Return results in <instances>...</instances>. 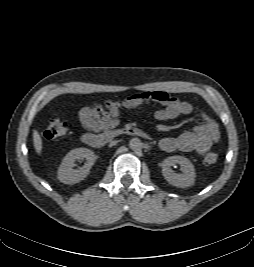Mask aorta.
<instances>
[{"mask_svg": "<svg viewBox=\"0 0 254 267\" xmlns=\"http://www.w3.org/2000/svg\"><path fill=\"white\" fill-rule=\"evenodd\" d=\"M129 147L133 151H138L142 147V142L138 138H132L129 142Z\"/></svg>", "mask_w": 254, "mask_h": 267, "instance_id": "aorta-1", "label": "aorta"}]
</instances>
